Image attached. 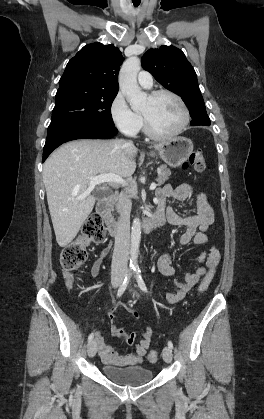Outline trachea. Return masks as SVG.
<instances>
[{
    "label": "trachea",
    "mask_w": 264,
    "mask_h": 419,
    "mask_svg": "<svg viewBox=\"0 0 264 419\" xmlns=\"http://www.w3.org/2000/svg\"><path fill=\"white\" fill-rule=\"evenodd\" d=\"M134 6H135V7L139 6V3H134Z\"/></svg>",
    "instance_id": "3493384b"
}]
</instances>
